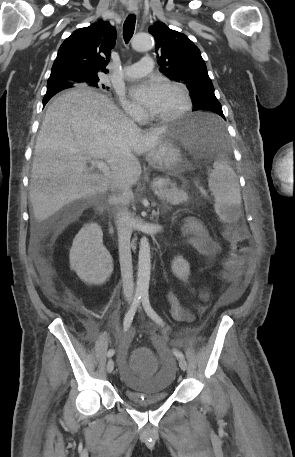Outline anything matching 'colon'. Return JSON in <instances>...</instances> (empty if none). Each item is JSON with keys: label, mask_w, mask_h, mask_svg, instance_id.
Listing matches in <instances>:
<instances>
[{"label": "colon", "mask_w": 295, "mask_h": 457, "mask_svg": "<svg viewBox=\"0 0 295 457\" xmlns=\"http://www.w3.org/2000/svg\"><path fill=\"white\" fill-rule=\"evenodd\" d=\"M225 237L230 244L229 256L224 263L225 277L235 281L239 276L251 247L250 236L240 229L228 228ZM152 346H133L131 352L132 372H155L156 360Z\"/></svg>", "instance_id": "colon-1"}]
</instances>
